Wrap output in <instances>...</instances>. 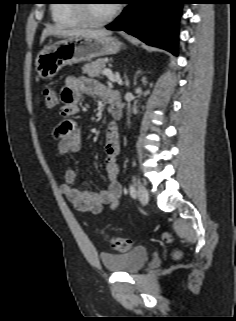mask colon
<instances>
[{"label":"colon","instance_id":"5ec220e1","mask_svg":"<svg viewBox=\"0 0 236 321\" xmlns=\"http://www.w3.org/2000/svg\"><path fill=\"white\" fill-rule=\"evenodd\" d=\"M43 102L45 107L49 109H53L58 104V95L57 92L53 89L46 88L43 92ZM106 238L109 240L111 246L120 253H125L131 249V241L127 238L112 236L106 232H104ZM163 239L166 241L171 240V236L169 234H164ZM176 257L181 256L180 251H176L174 254Z\"/></svg>","mask_w":236,"mask_h":321}]
</instances>
